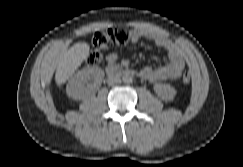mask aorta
Masks as SVG:
<instances>
[{"label":"aorta","instance_id":"762f6f07","mask_svg":"<svg viewBox=\"0 0 243 167\" xmlns=\"http://www.w3.org/2000/svg\"><path fill=\"white\" fill-rule=\"evenodd\" d=\"M122 80H123L124 83L130 84V83L133 82V76L129 73H126V74L123 75Z\"/></svg>","mask_w":243,"mask_h":167}]
</instances>
